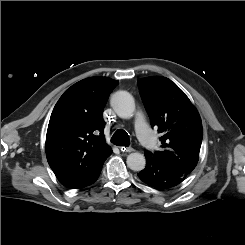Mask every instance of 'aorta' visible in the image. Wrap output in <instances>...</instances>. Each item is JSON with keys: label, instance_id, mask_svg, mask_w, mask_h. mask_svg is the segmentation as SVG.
Wrapping results in <instances>:
<instances>
[{"label": "aorta", "instance_id": "762f6f07", "mask_svg": "<svg viewBox=\"0 0 245 245\" xmlns=\"http://www.w3.org/2000/svg\"><path fill=\"white\" fill-rule=\"evenodd\" d=\"M111 105L116 114L124 119H129L135 111V102L132 95L126 91L116 92L111 99ZM127 166L133 171H141L145 168L146 160L143 154L135 152L127 157Z\"/></svg>", "mask_w": 245, "mask_h": 245}]
</instances>
